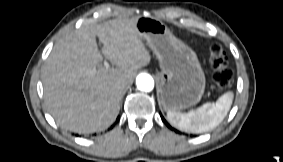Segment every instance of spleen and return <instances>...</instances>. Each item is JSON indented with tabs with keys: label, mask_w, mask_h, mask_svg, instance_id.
<instances>
[{
	"label": "spleen",
	"mask_w": 283,
	"mask_h": 162,
	"mask_svg": "<svg viewBox=\"0 0 283 162\" xmlns=\"http://www.w3.org/2000/svg\"><path fill=\"white\" fill-rule=\"evenodd\" d=\"M233 98V92H227L215 103H205L188 113L169 110L167 118L174 127L180 130L190 133L207 132L223 121L231 108Z\"/></svg>",
	"instance_id": "spleen-1"
}]
</instances>
